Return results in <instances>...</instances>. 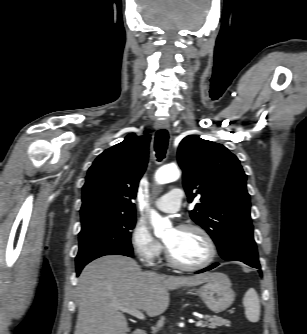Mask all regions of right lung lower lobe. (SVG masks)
Here are the masks:
<instances>
[{"label":"right lung lower lobe","mask_w":307,"mask_h":334,"mask_svg":"<svg viewBox=\"0 0 307 334\" xmlns=\"http://www.w3.org/2000/svg\"><path fill=\"white\" fill-rule=\"evenodd\" d=\"M118 255H125V253H120ZM126 256V255H125ZM83 267L77 268V276L80 274Z\"/></svg>","instance_id":"1"}]
</instances>
